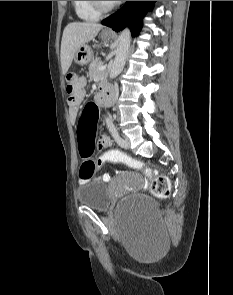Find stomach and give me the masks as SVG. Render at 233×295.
I'll list each match as a JSON object with an SVG mask.
<instances>
[{"instance_id":"1","label":"stomach","mask_w":233,"mask_h":295,"mask_svg":"<svg viewBox=\"0 0 233 295\" xmlns=\"http://www.w3.org/2000/svg\"><path fill=\"white\" fill-rule=\"evenodd\" d=\"M113 37V33L103 31L101 33V38L104 41H108ZM92 60V49L88 44L81 45L75 52L74 61L78 65H86Z\"/></svg>"}]
</instances>
